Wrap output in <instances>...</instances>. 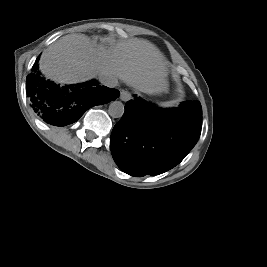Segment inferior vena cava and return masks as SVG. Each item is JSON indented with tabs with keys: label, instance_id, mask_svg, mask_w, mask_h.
<instances>
[{
	"label": "inferior vena cava",
	"instance_id": "602c4592",
	"mask_svg": "<svg viewBox=\"0 0 267 267\" xmlns=\"http://www.w3.org/2000/svg\"><path fill=\"white\" fill-rule=\"evenodd\" d=\"M99 81L102 85L113 88L117 85L118 80L114 75L108 73L99 74Z\"/></svg>",
	"mask_w": 267,
	"mask_h": 267
}]
</instances>
